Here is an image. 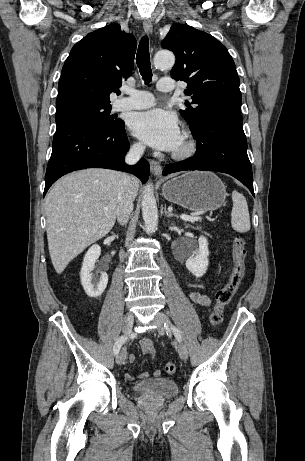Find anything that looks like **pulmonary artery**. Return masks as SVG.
Here are the masks:
<instances>
[{
    "label": "pulmonary artery",
    "instance_id": "1",
    "mask_svg": "<svg viewBox=\"0 0 305 461\" xmlns=\"http://www.w3.org/2000/svg\"><path fill=\"white\" fill-rule=\"evenodd\" d=\"M157 89L160 92H171L174 90L172 78H161L157 83ZM128 96L117 99L113 103V109L121 110H139L146 109L155 104L154 96L147 91H126Z\"/></svg>",
    "mask_w": 305,
    "mask_h": 461
}]
</instances>
